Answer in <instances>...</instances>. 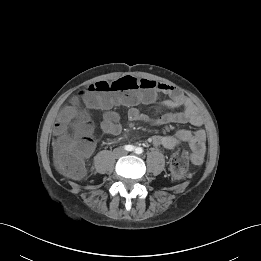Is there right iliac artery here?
Segmentation results:
<instances>
[{
  "instance_id": "obj_1",
  "label": "right iliac artery",
  "mask_w": 261,
  "mask_h": 261,
  "mask_svg": "<svg viewBox=\"0 0 261 261\" xmlns=\"http://www.w3.org/2000/svg\"><path fill=\"white\" fill-rule=\"evenodd\" d=\"M124 149L127 151H133L135 149V147L133 145H125Z\"/></svg>"
}]
</instances>
